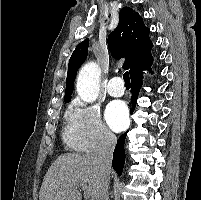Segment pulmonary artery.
<instances>
[{
  "label": "pulmonary artery",
  "mask_w": 201,
  "mask_h": 200,
  "mask_svg": "<svg viewBox=\"0 0 201 200\" xmlns=\"http://www.w3.org/2000/svg\"><path fill=\"white\" fill-rule=\"evenodd\" d=\"M124 83L121 77L114 76L110 79L107 92L113 97H120L124 94Z\"/></svg>",
  "instance_id": "1"
}]
</instances>
